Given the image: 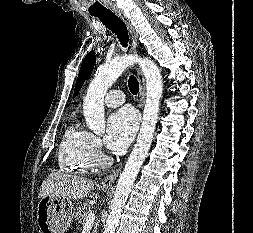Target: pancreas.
<instances>
[{
    "label": "pancreas",
    "mask_w": 253,
    "mask_h": 233,
    "mask_svg": "<svg viewBox=\"0 0 253 233\" xmlns=\"http://www.w3.org/2000/svg\"><path fill=\"white\" fill-rule=\"evenodd\" d=\"M89 212H91V206L88 204H83L77 209L75 219L78 220L81 225H85L86 217ZM97 227H98L97 224H95L92 233H97Z\"/></svg>",
    "instance_id": "cf45deb5"
}]
</instances>
